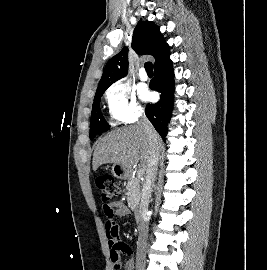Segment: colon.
<instances>
[{"label":"colon","mask_w":267,"mask_h":270,"mask_svg":"<svg viewBox=\"0 0 267 270\" xmlns=\"http://www.w3.org/2000/svg\"><path fill=\"white\" fill-rule=\"evenodd\" d=\"M96 185L100 191V196L103 202H109L121 194L120 186L111 175H100L96 178ZM114 270L121 269V261L117 257L112 258Z\"/></svg>","instance_id":"5ec220e1"}]
</instances>
